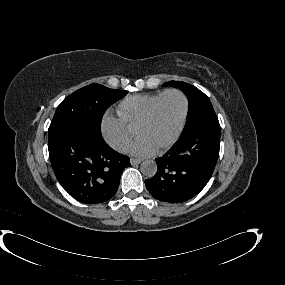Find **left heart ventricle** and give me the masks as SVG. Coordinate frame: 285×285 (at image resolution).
I'll list each match as a JSON object with an SVG mask.
<instances>
[{"instance_id": "b2bd125f", "label": "left heart ventricle", "mask_w": 285, "mask_h": 285, "mask_svg": "<svg viewBox=\"0 0 285 285\" xmlns=\"http://www.w3.org/2000/svg\"><path fill=\"white\" fill-rule=\"evenodd\" d=\"M184 102L180 95L169 94L160 103L151 122L139 132L154 147L167 143L176 133L182 119Z\"/></svg>"}]
</instances>
